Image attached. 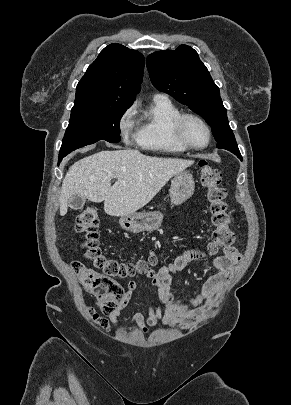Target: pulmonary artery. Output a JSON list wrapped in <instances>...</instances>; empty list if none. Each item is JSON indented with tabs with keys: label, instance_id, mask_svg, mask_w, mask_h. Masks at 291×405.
<instances>
[{
	"label": "pulmonary artery",
	"instance_id": "pulmonary-artery-1",
	"mask_svg": "<svg viewBox=\"0 0 291 405\" xmlns=\"http://www.w3.org/2000/svg\"><path fill=\"white\" fill-rule=\"evenodd\" d=\"M155 97H165V96L157 94V95H155Z\"/></svg>",
	"mask_w": 291,
	"mask_h": 405
}]
</instances>
